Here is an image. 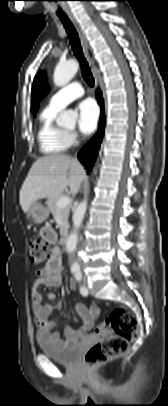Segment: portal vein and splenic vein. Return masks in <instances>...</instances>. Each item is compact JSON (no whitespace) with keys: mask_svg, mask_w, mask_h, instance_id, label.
Returning a JSON list of instances; mask_svg holds the SVG:
<instances>
[{"mask_svg":"<svg viewBox=\"0 0 168 406\" xmlns=\"http://www.w3.org/2000/svg\"><path fill=\"white\" fill-rule=\"evenodd\" d=\"M70 203H71V198L68 196H64L57 201L56 205H57L58 209H62L64 207L68 206Z\"/></svg>","mask_w":168,"mask_h":406,"instance_id":"18ae733b","label":"portal vein and splenic vein"}]
</instances>
